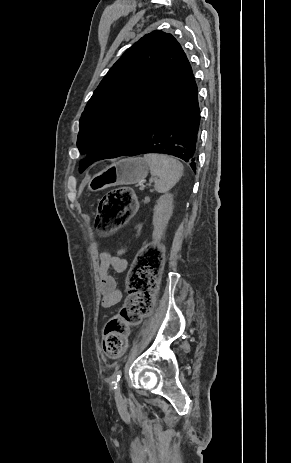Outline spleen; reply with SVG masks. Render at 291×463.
Wrapping results in <instances>:
<instances>
[{"instance_id":"1","label":"spleen","mask_w":291,"mask_h":463,"mask_svg":"<svg viewBox=\"0 0 291 463\" xmlns=\"http://www.w3.org/2000/svg\"><path fill=\"white\" fill-rule=\"evenodd\" d=\"M151 175L155 178V189L160 193L169 191L180 180L184 167L176 159L161 154H146Z\"/></svg>"}]
</instances>
